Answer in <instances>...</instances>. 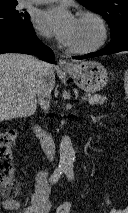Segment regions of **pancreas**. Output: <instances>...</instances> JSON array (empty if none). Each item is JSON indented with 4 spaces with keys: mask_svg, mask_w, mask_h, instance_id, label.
<instances>
[{
    "mask_svg": "<svg viewBox=\"0 0 128 213\" xmlns=\"http://www.w3.org/2000/svg\"><path fill=\"white\" fill-rule=\"evenodd\" d=\"M84 100H87L90 105H95V104H104L107 98L105 96L101 95H90L86 94L85 97L83 98Z\"/></svg>",
    "mask_w": 128,
    "mask_h": 213,
    "instance_id": "pancreas-1",
    "label": "pancreas"
}]
</instances>
